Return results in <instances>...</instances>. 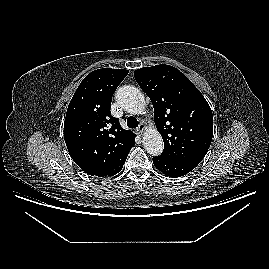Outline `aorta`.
I'll return each mask as SVG.
<instances>
[{"label":"aorta","instance_id":"aorta-1","mask_svg":"<svg viewBox=\"0 0 269 269\" xmlns=\"http://www.w3.org/2000/svg\"><path fill=\"white\" fill-rule=\"evenodd\" d=\"M116 99L123 109L132 114H138L145 107L143 93L134 86H123L118 89ZM143 144L146 151L152 156L162 153L164 143L161 134L157 129H149L144 133Z\"/></svg>","mask_w":269,"mask_h":269}]
</instances>
